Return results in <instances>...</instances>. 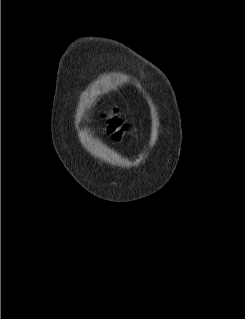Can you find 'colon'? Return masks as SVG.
<instances>
[{"label": "colon", "instance_id": "1", "mask_svg": "<svg viewBox=\"0 0 245 319\" xmlns=\"http://www.w3.org/2000/svg\"><path fill=\"white\" fill-rule=\"evenodd\" d=\"M110 130L113 133L115 139H119L123 132L128 129L127 124L120 118L114 117L109 121Z\"/></svg>", "mask_w": 245, "mask_h": 319}]
</instances>
